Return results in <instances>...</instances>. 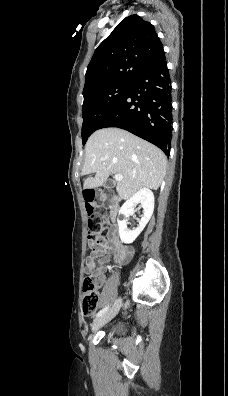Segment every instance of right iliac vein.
<instances>
[{
    "label": "right iliac vein",
    "mask_w": 228,
    "mask_h": 396,
    "mask_svg": "<svg viewBox=\"0 0 228 396\" xmlns=\"http://www.w3.org/2000/svg\"><path fill=\"white\" fill-rule=\"evenodd\" d=\"M121 305V299H117L114 305L106 313L93 321L91 325V330L96 331L97 329L108 323L110 320H112L119 312Z\"/></svg>",
    "instance_id": "obj_1"
}]
</instances>
